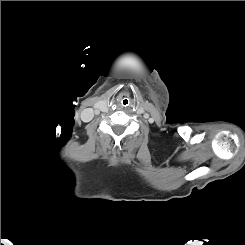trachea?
Returning a JSON list of instances; mask_svg holds the SVG:
<instances>
[{
  "label": "trachea",
  "instance_id": "trachea-1",
  "mask_svg": "<svg viewBox=\"0 0 245 245\" xmlns=\"http://www.w3.org/2000/svg\"><path fill=\"white\" fill-rule=\"evenodd\" d=\"M121 105H122L123 107L129 106V105H130V99L127 98V97L123 98V99L121 100Z\"/></svg>",
  "mask_w": 245,
  "mask_h": 245
}]
</instances>
